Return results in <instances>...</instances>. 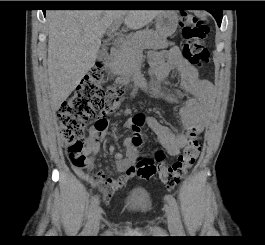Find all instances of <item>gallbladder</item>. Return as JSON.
<instances>
[{
    "label": "gallbladder",
    "instance_id": "obj_1",
    "mask_svg": "<svg viewBox=\"0 0 265 245\" xmlns=\"http://www.w3.org/2000/svg\"><path fill=\"white\" fill-rule=\"evenodd\" d=\"M107 55H108L107 51L104 50V49H101V50H99L98 53H97V59H99V60H103L104 58L107 57Z\"/></svg>",
    "mask_w": 265,
    "mask_h": 245
}]
</instances>
